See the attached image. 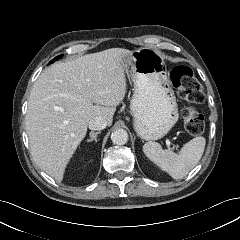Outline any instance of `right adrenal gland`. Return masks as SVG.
Here are the masks:
<instances>
[{
	"label": "right adrenal gland",
	"instance_id": "1",
	"mask_svg": "<svg viewBox=\"0 0 240 240\" xmlns=\"http://www.w3.org/2000/svg\"><path fill=\"white\" fill-rule=\"evenodd\" d=\"M98 134H100V132H90V139H88L87 142H91V141L97 142Z\"/></svg>",
	"mask_w": 240,
	"mask_h": 240
}]
</instances>
